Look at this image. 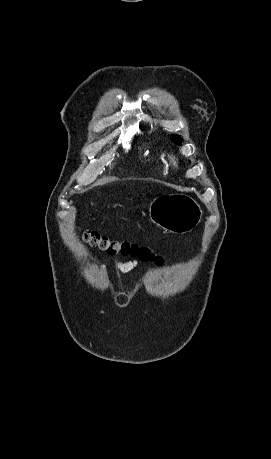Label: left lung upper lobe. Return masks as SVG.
Returning <instances> with one entry per match:
<instances>
[{"label": "left lung upper lobe", "mask_w": 271, "mask_h": 459, "mask_svg": "<svg viewBox=\"0 0 271 459\" xmlns=\"http://www.w3.org/2000/svg\"><path fill=\"white\" fill-rule=\"evenodd\" d=\"M172 140L175 141L177 144H180L182 142V139L179 135H173Z\"/></svg>", "instance_id": "left-lung-upper-lobe-1"}]
</instances>
